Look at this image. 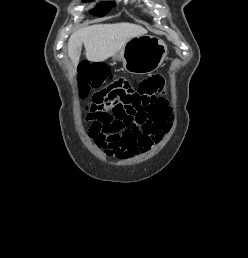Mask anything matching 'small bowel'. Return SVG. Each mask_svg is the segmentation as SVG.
I'll use <instances>...</instances> for the list:
<instances>
[{
	"instance_id": "obj_1",
	"label": "small bowel",
	"mask_w": 248,
	"mask_h": 258,
	"mask_svg": "<svg viewBox=\"0 0 248 258\" xmlns=\"http://www.w3.org/2000/svg\"><path fill=\"white\" fill-rule=\"evenodd\" d=\"M164 81L158 77L143 80L137 88L119 78L99 92L113 95L122 112L131 113V121L110 134L92 131L91 136L103 152L116 159H127L147 151L161 141L170 129V107L160 95Z\"/></svg>"
}]
</instances>
